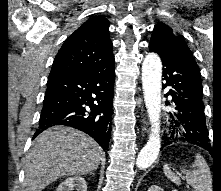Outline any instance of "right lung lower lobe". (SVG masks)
Segmentation results:
<instances>
[{"label":"right lung lower lobe","mask_w":221,"mask_h":191,"mask_svg":"<svg viewBox=\"0 0 221 191\" xmlns=\"http://www.w3.org/2000/svg\"><path fill=\"white\" fill-rule=\"evenodd\" d=\"M114 79V64L48 79L39 129L33 138L54 125H67L87 133L107 150Z\"/></svg>","instance_id":"1"}]
</instances>
